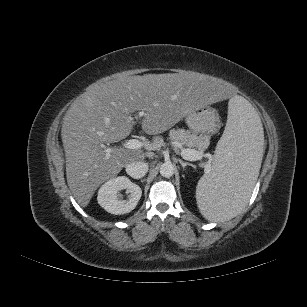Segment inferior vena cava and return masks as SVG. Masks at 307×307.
<instances>
[{
    "instance_id": "602c4592",
    "label": "inferior vena cava",
    "mask_w": 307,
    "mask_h": 307,
    "mask_svg": "<svg viewBox=\"0 0 307 307\" xmlns=\"http://www.w3.org/2000/svg\"><path fill=\"white\" fill-rule=\"evenodd\" d=\"M148 171V165L142 161L132 162L126 165V172L134 179L142 178Z\"/></svg>"
}]
</instances>
